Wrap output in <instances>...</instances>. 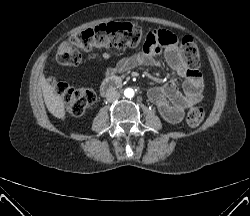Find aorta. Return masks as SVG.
Masks as SVG:
<instances>
[{
    "label": "aorta",
    "instance_id": "obj_1",
    "mask_svg": "<svg viewBox=\"0 0 250 216\" xmlns=\"http://www.w3.org/2000/svg\"><path fill=\"white\" fill-rule=\"evenodd\" d=\"M124 96L127 98H132L134 96V90L131 88L125 89Z\"/></svg>",
    "mask_w": 250,
    "mask_h": 216
}]
</instances>
